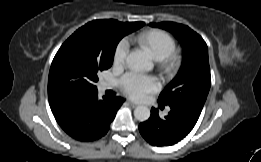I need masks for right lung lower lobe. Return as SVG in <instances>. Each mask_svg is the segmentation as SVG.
<instances>
[{
  "instance_id": "1",
  "label": "right lung lower lobe",
  "mask_w": 261,
  "mask_h": 162,
  "mask_svg": "<svg viewBox=\"0 0 261 162\" xmlns=\"http://www.w3.org/2000/svg\"><path fill=\"white\" fill-rule=\"evenodd\" d=\"M124 99H98V93L69 104L54 114L61 128L72 138L88 142L104 136Z\"/></svg>"
}]
</instances>
